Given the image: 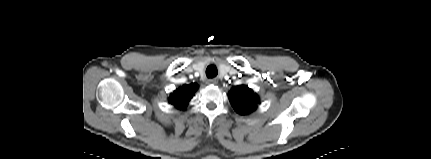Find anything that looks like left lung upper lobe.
<instances>
[{
    "label": "left lung upper lobe",
    "instance_id": "1",
    "mask_svg": "<svg viewBox=\"0 0 431 159\" xmlns=\"http://www.w3.org/2000/svg\"><path fill=\"white\" fill-rule=\"evenodd\" d=\"M230 102L236 112L247 114L256 108L258 99L257 95L247 86H237L231 89L229 93Z\"/></svg>",
    "mask_w": 431,
    "mask_h": 159
}]
</instances>
